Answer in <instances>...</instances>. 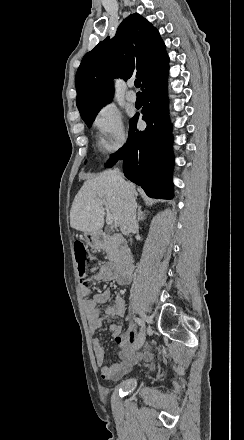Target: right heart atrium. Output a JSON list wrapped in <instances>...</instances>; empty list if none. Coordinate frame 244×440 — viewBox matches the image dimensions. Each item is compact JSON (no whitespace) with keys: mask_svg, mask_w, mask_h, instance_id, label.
<instances>
[{"mask_svg":"<svg viewBox=\"0 0 244 440\" xmlns=\"http://www.w3.org/2000/svg\"><path fill=\"white\" fill-rule=\"evenodd\" d=\"M93 126L99 134V144L107 152L120 148L125 140V130L120 110L107 104L101 107L93 118Z\"/></svg>","mask_w":244,"mask_h":440,"instance_id":"d8ad5b80","label":"right heart atrium"}]
</instances>
